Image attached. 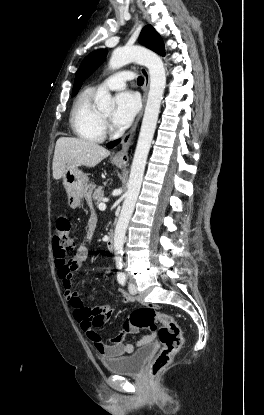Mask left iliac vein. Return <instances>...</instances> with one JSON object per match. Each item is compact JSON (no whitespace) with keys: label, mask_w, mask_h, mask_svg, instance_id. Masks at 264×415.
<instances>
[{"label":"left iliac vein","mask_w":264,"mask_h":415,"mask_svg":"<svg viewBox=\"0 0 264 415\" xmlns=\"http://www.w3.org/2000/svg\"><path fill=\"white\" fill-rule=\"evenodd\" d=\"M128 289L130 294L132 295H135L137 293V287L134 283H129Z\"/></svg>","instance_id":"4c4485c4"}]
</instances>
